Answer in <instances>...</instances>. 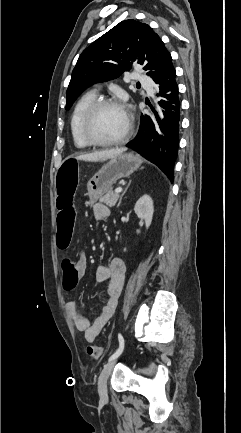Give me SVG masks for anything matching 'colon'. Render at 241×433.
<instances>
[{"instance_id":"5ec220e1","label":"colon","mask_w":241,"mask_h":433,"mask_svg":"<svg viewBox=\"0 0 241 433\" xmlns=\"http://www.w3.org/2000/svg\"><path fill=\"white\" fill-rule=\"evenodd\" d=\"M80 163V157H62L55 175L56 207L59 209V215L56 218V228L59 233L57 246L62 250L69 247L70 235L75 233L74 221L79 215V208L73 207V202L79 176L77 168L80 167ZM62 269L64 286L67 289L74 288L78 279V271L69 258L63 260ZM86 352L88 356L96 360L103 355L102 348L98 346H88Z\"/></svg>"}]
</instances>
